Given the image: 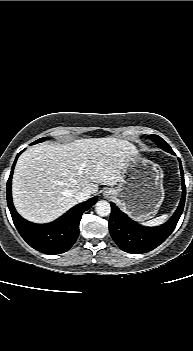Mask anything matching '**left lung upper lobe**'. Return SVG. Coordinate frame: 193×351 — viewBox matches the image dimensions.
<instances>
[{"instance_id":"1","label":"left lung upper lobe","mask_w":193,"mask_h":351,"mask_svg":"<svg viewBox=\"0 0 193 351\" xmlns=\"http://www.w3.org/2000/svg\"><path fill=\"white\" fill-rule=\"evenodd\" d=\"M149 138L153 140L161 149L169 153L173 152L171 147L158 135H149Z\"/></svg>"}]
</instances>
